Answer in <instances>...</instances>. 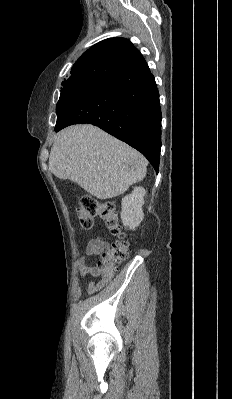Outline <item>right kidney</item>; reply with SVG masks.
<instances>
[{"instance_id": "ca27d5eb", "label": "right kidney", "mask_w": 232, "mask_h": 399, "mask_svg": "<svg viewBox=\"0 0 232 399\" xmlns=\"http://www.w3.org/2000/svg\"><path fill=\"white\" fill-rule=\"evenodd\" d=\"M145 194L144 188H134L132 194L125 196L122 200L121 219L123 225L129 229L138 227L144 217L142 205H144Z\"/></svg>"}]
</instances>
